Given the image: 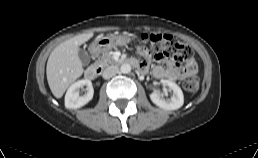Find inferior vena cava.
I'll return each instance as SVG.
<instances>
[{
	"label": "inferior vena cava",
	"instance_id": "obj_1",
	"mask_svg": "<svg viewBox=\"0 0 258 158\" xmlns=\"http://www.w3.org/2000/svg\"><path fill=\"white\" fill-rule=\"evenodd\" d=\"M118 72H119V68L115 65H111L104 69V71L102 73V77L104 79H109V78L115 76Z\"/></svg>",
	"mask_w": 258,
	"mask_h": 158
}]
</instances>
